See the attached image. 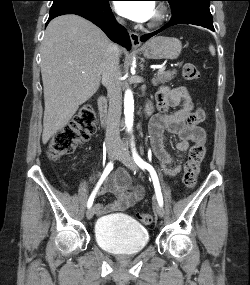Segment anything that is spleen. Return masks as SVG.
Listing matches in <instances>:
<instances>
[{"label": "spleen", "mask_w": 250, "mask_h": 285, "mask_svg": "<svg viewBox=\"0 0 250 285\" xmlns=\"http://www.w3.org/2000/svg\"><path fill=\"white\" fill-rule=\"evenodd\" d=\"M209 51H210L211 55H213V56L215 55V48L213 45L209 46Z\"/></svg>", "instance_id": "1"}]
</instances>
